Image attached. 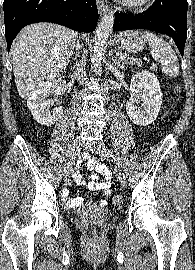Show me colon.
I'll return each instance as SVG.
<instances>
[{
    "label": "colon",
    "mask_w": 195,
    "mask_h": 270,
    "mask_svg": "<svg viewBox=\"0 0 195 270\" xmlns=\"http://www.w3.org/2000/svg\"><path fill=\"white\" fill-rule=\"evenodd\" d=\"M112 202L114 203V204H118L119 202H120V197L119 196H114L113 197V199H112ZM89 229L91 230V231H94L95 229H96V225H95V223L93 222V221H91L90 223H89Z\"/></svg>",
    "instance_id": "colon-1"
}]
</instances>
